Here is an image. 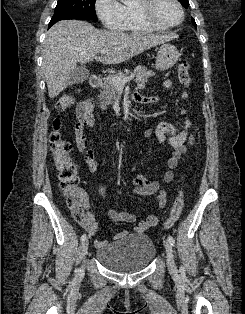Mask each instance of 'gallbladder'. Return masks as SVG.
Returning <instances> with one entry per match:
<instances>
[{
    "label": "gallbladder",
    "mask_w": 245,
    "mask_h": 314,
    "mask_svg": "<svg viewBox=\"0 0 245 314\" xmlns=\"http://www.w3.org/2000/svg\"><path fill=\"white\" fill-rule=\"evenodd\" d=\"M89 77V70L86 67L77 66L69 75L68 84H80Z\"/></svg>",
    "instance_id": "bac80fb5"
}]
</instances>
